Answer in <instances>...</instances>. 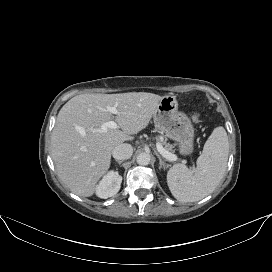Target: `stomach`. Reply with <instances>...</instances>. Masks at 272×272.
Instances as JSON below:
<instances>
[{
  "instance_id": "1",
  "label": "stomach",
  "mask_w": 272,
  "mask_h": 272,
  "mask_svg": "<svg viewBox=\"0 0 272 272\" xmlns=\"http://www.w3.org/2000/svg\"><path fill=\"white\" fill-rule=\"evenodd\" d=\"M153 120L161 133L178 143L181 154L189 155L193 152L194 128L187 115L178 111L175 96L162 97L153 113Z\"/></svg>"
}]
</instances>
